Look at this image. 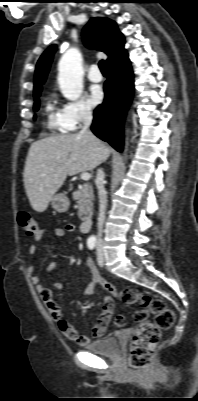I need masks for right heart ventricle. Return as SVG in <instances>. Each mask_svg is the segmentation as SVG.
I'll return each mask as SVG.
<instances>
[{
    "label": "right heart ventricle",
    "mask_w": 198,
    "mask_h": 401,
    "mask_svg": "<svg viewBox=\"0 0 198 401\" xmlns=\"http://www.w3.org/2000/svg\"><path fill=\"white\" fill-rule=\"evenodd\" d=\"M45 112L49 129L57 133H67L69 131L61 119L60 111L55 108L50 100L46 102Z\"/></svg>",
    "instance_id": "right-heart-ventricle-1"
}]
</instances>
